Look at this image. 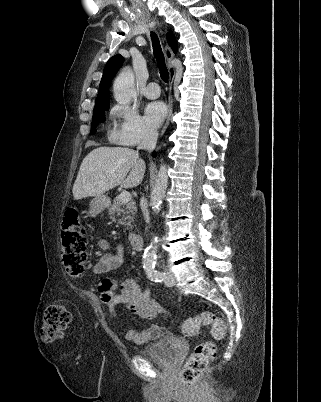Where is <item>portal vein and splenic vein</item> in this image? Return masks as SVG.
Here are the masks:
<instances>
[{"mask_svg": "<svg viewBox=\"0 0 321 402\" xmlns=\"http://www.w3.org/2000/svg\"><path fill=\"white\" fill-rule=\"evenodd\" d=\"M102 179H105V176H102ZM122 203H127L131 200V194L128 191H123L119 195Z\"/></svg>", "mask_w": 321, "mask_h": 402, "instance_id": "18ae733b", "label": "portal vein and splenic vein"}]
</instances>
